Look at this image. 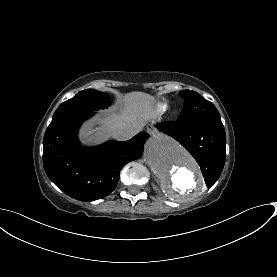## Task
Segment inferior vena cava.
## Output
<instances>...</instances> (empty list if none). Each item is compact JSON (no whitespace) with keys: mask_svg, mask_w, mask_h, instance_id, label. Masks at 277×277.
Instances as JSON below:
<instances>
[{"mask_svg":"<svg viewBox=\"0 0 277 277\" xmlns=\"http://www.w3.org/2000/svg\"><path fill=\"white\" fill-rule=\"evenodd\" d=\"M141 131L140 126H126L118 128L114 131L113 137L118 141H126L134 137L136 134H138Z\"/></svg>","mask_w":277,"mask_h":277,"instance_id":"602c4592","label":"inferior vena cava"}]
</instances>
